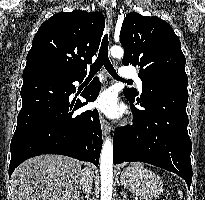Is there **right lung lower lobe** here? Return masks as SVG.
Instances as JSON below:
<instances>
[{"label": "right lung lower lobe", "mask_w": 205, "mask_h": 200, "mask_svg": "<svg viewBox=\"0 0 205 200\" xmlns=\"http://www.w3.org/2000/svg\"><path fill=\"white\" fill-rule=\"evenodd\" d=\"M85 76L58 72L23 73L22 108L11 140L9 176L30 157L60 154L98 165L102 131L97 110L74 113L94 101L101 88L98 78L81 94L87 102L69 99L76 91L74 81Z\"/></svg>", "instance_id": "98d812e1"}]
</instances>
